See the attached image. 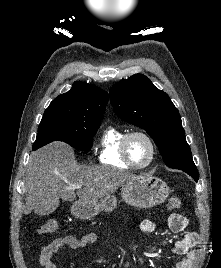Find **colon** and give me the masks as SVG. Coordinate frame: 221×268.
Instances as JSON below:
<instances>
[{"label": "colon", "instance_id": "obj_1", "mask_svg": "<svg viewBox=\"0 0 221 268\" xmlns=\"http://www.w3.org/2000/svg\"><path fill=\"white\" fill-rule=\"evenodd\" d=\"M181 206V200L178 197H171L168 200V209L175 210ZM58 229V222L55 220H49L39 227L38 232L40 234H50Z\"/></svg>", "mask_w": 221, "mask_h": 268}]
</instances>
